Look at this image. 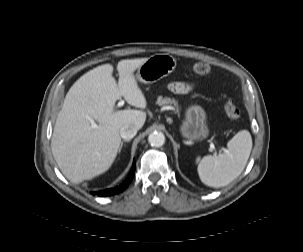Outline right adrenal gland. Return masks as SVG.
<instances>
[{
	"mask_svg": "<svg viewBox=\"0 0 303 252\" xmlns=\"http://www.w3.org/2000/svg\"><path fill=\"white\" fill-rule=\"evenodd\" d=\"M125 142H129V140H124V141L121 142L120 147H119V152H121V149H122L123 144H124Z\"/></svg>",
	"mask_w": 303,
	"mask_h": 252,
	"instance_id": "obj_1",
	"label": "right adrenal gland"
}]
</instances>
